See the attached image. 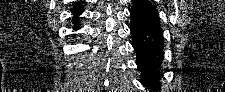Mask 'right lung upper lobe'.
I'll return each instance as SVG.
<instances>
[{
    "label": "right lung upper lobe",
    "mask_w": 225,
    "mask_h": 92,
    "mask_svg": "<svg viewBox=\"0 0 225 92\" xmlns=\"http://www.w3.org/2000/svg\"><path fill=\"white\" fill-rule=\"evenodd\" d=\"M72 14L74 16L79 15L81 12H83V6L80 2L73 4V9L71 10Z\"/></svg>",
    "instance_id": "right-lung-upper-lobe-1"
}]
</instances>
